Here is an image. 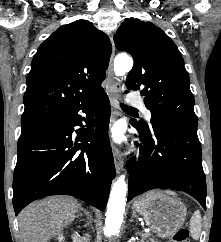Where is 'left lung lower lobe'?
I'll list each match as a JSON object with an SVG mask.
<instances>
[{"label": "left lung lower lobe", "instance_id": "obj_1", "mask_svg": "<svg viewBox=\"0 0 221 242\" xmlns=\"http://www.w3.org/2000/svg\"><path fill=\"white\" fill-rule=\"evenodd\" d=\"M141 135L144 155L138 165L128 163V200L155 188L184 191L206 209V178L202 167L197 129L158 123L151 131L132 123Z\"/></svg>", "mask_w": 221, "mask_h": 242}]
</instances>
